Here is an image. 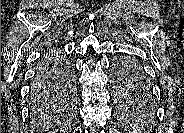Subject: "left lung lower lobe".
Returning a JSON list of instances; mask_svg holds the SVG:
<instances>
[{
  "label": "left lung lower lobe",
  "instance_id": "0a47b994",
  "mask_svg": "<svg viewBox=\"0 0 184 133\" xmlns=\"http://www.w3.org/2000/svg\"><path fill=\"white\" fill-rule=\"evenodd\" d=\"M137 91L141 94V91H142V90H141L140 88H137Z\"/></svg>",
  "mask_w": 184,
  "mask_h": 133
}]
</instances>
